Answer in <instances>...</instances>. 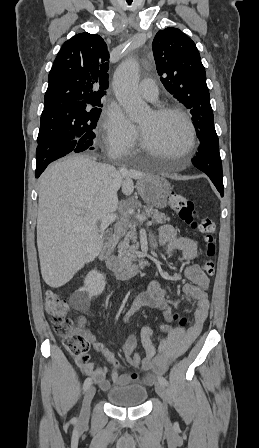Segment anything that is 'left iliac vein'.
<instances>
[{
    "instance_id": "left-iliac-vein-1",
    "label": "left iliac vein",
    "mask_w": 259,
    "mask_h": 448,
    "mask_svg": "<svg viewBox=\"0 0 259 448\" xmlns=\"http://www.w3.org/2000/svg\"><path fill=\"white\" fill-rule=\"evenodd\" d=\"M155 390H156L157 394L163 399V401L166 402L167 393H166L165 386L163 384H161L160 382H158L155 385Z\"/></svg>"
}]
</instances>
